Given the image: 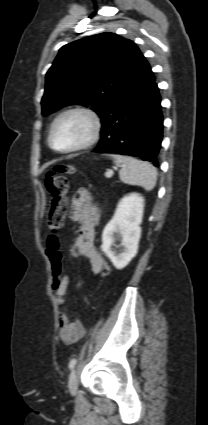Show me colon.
<instances>
[{"instance_id":"5ec220e1","label":"colon","mask_w":208,"mask_h":425,"mask_svg":"<svg viewBox=\"0 0 208 425\" xmlns=\"http://www.w3.org/2000/svg\"><path fill=\"white\" fill-rule=\"evenodd\" d=\"M75 172L73 166L68 164H58L53 166L45 175V188L51 196V208L48 217V224L52 235L49 237V249L47 251L51 261L53 275V291L55 292L59 285L60 275L63 272V254L57 239L54 236L63 223L66 195L69 189L67 176ZM70 256H75L74 249L68 252ZM110 268L108 265L102 267L100 275L105 277L109 274Z\"/></svg>"}]
</instances>
